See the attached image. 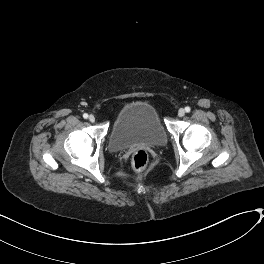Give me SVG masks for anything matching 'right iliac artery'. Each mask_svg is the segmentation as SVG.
I'll return each instance as SVG.
<instances>
[{
    "label": "right iliac artery",
    "instance_id": "obj_1",
    "mask_svg": "<svg viewBox=\"0 0 264 264\" xmlns=\"http://www.w3.org/2000/svg\"><path fill=\"white\" fill-rule=\"evenodd\" d=\"M83 118L87 119L88 118V114L87 113H84L83 114Z\"/></svg>",
    "mask_w": 264,
    "mask_h": 264
}]
</instances>
